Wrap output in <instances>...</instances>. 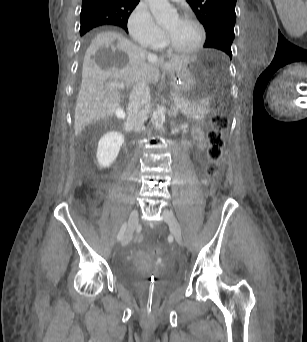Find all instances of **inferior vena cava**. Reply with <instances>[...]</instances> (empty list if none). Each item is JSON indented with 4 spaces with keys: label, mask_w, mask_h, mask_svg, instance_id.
Returning <instances> with one entry per match:
<instances>
[{
    "label": "inferior vena cava",
    "mask_w": 307,
    "mask_h": 342,
    "mask_svg": "<svg viewBox=\"0 0 307 342\" xmlns=\"http://www.w3.org/2000/svg\"><path fill=\"white\" fill-rule=\"evenodd\" d=\"M150 98V88L146 82L133 86L129 96L126 128H132L134 132H141L147 118Z\"/></svg>",
    "instance_id": "1"
}]
</instances>
